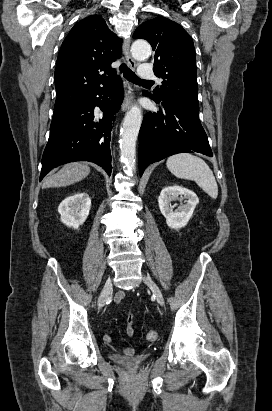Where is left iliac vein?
Masks as SVG:
<instances>
[{
  "instance_id": "obj_1",
  "label": "left iliac vein",
  "mask_w": 272,
  "mask_h": 411,
  "mask_svg": "<svg viewBox=\"0 0 272 411\" xmlns=\"http://www.w3.org/2000/svg\"><path fill=\"white\" fill-rule=\"evenodd\" d=\"M144 283L150 288L152 293L154 294L157 302L161 305H165L164 297L159 289V287L155 284V282L149 278V277H144L143 278Z\"/></svg>"
}]
</instances>
